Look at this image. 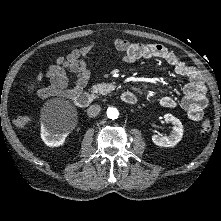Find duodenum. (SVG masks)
Returning <instances> with one entry per match:
<instances>
[{
    "instance_id": "obj_1",
    "label": "duodenum",
    "mask_w": 221,
    "mask_h": 221,
    "mask_svg": "<svg viewBox=\"0 0 221 221\" xmlns=\"http://www.w3.org/2000/svg\"><path fill=\"white\" fill-rule=\"evenodd\" d=\"M120 99L125 104H135L137 102L136 95L131 91H125L120 95ZM94 100V95L91 93L81 92L74 96L73 101L74 104L78 108H86L88 107Z\"/></svg>"
}]
</instances>
